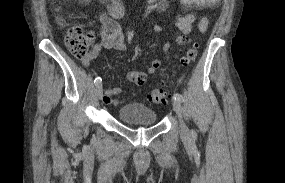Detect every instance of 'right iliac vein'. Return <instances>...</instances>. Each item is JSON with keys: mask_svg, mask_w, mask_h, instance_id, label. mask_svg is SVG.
Segmentation results:
<instances>
[{"mask_svg": "<svg viewBox=\"0 0 285 183\" xmlns=\"http://www.w3.org/2000/svg\"><path fill=\"white\" fill-rule=\"evenodd\" d=\"M96 94L99 99H102L103 97V92H102V86L101 84L96 85Z\"/></svg>", "mask_w": 285, "mask_h": 183, "instance_id": "63e3f726", "label": "right iliac vein"}]
</instances>
